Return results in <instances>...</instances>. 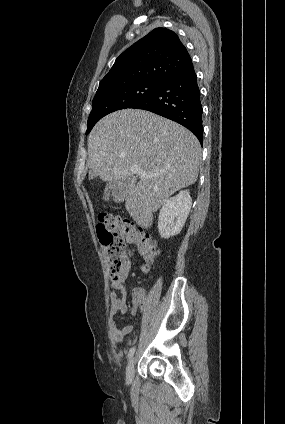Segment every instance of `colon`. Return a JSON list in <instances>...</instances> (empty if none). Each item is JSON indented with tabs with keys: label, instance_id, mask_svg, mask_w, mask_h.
<instances>
[{
	"label": "colon",
	"instance_id": "5ec220e1",
	"mask_svg": "<svg viewBox=\"0 0 285 424\" xmlns=\"http://www.w3.org/2000/svg\"><path fill=\"white\" fill-rule=\"evenodd\" d=\"M96 234L103 246L107 271L112 279H118L129 259L126 243L137 246L145 260V267L152 265L160 254L155 240L141 227L116 215L100 216Z\"/></svg>",
	"mask_w": 285,
	"mask_h": 424
}]
</instances>
